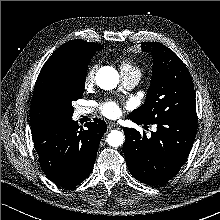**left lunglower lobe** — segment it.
<instances>
[{"label": "left lung lower lobe", "mask_w": 220, "mask_h": 220, "mask_svg": "<svg viewBox=\"0 0 220 220\" xmlns=\"http://www.w3.org/2000/svg\"><path fill=\"white\" fill-rule=\"evenodd\" d=\"M136 124H144L130 117ZM156 132L151 137L136 129L124 128L123 145L130 173L150 186L172 179L186 162L197 132V120L169 116L155 122Z\"/></svg>", "instance_id": "1"}]
</instances>
